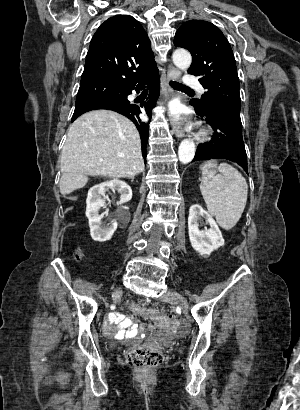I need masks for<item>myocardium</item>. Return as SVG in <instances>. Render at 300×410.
I'll use <instances>...</instances> for the list:
<instances>
[{"label": "myocardium", "instance_id": "obj_1", "mask_svg": "<svg viewBox=\"0 0 300 410\" xmlns=\"http://www.w3.org/2000/svg\"><path fill=\"white\" fill-rule=\"evenodd\" d=\"M208 136H209V132L207 131V130H202L200 133H199V138L200 139H207L208 138Z\"/></svg>", "mask_w": 300, "mask_h": 410}]
</instances>
